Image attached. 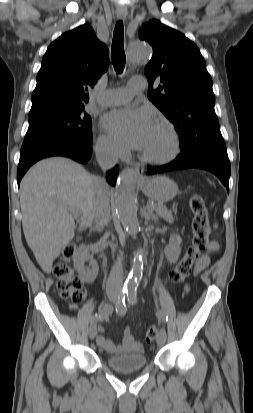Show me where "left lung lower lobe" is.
<instances>
[{
  "label": "left lung lower lobe",
  "instance_id": "left-lung-lower-lobe-1",
  "mask_svg": "<svg viewBox=\"0 0 253 413\" xmlns=\"http://www.w3.org/2000/svg\"><path fill=\"white\" fill-rule=\"evenodd\" d=\"M188 168H199L214 173L229 192L230 161L224 140L205 141L192 151L181 149V153L173 162L163 166L148 167L147 174Z\"/></svg>",
  "mask_w": 253,
  "mask_h": 413
}]
</instances>
